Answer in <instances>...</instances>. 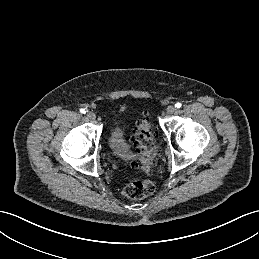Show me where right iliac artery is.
Instances as JSON below:
<instances>
[{
	"label": "right iliac artery",
	"instance_id": "right-iliac-artery-1",
	"mask_svg": "<svg viewBox=\"0 0 259 259\" xmlns=\"http://www.w3.org/2000/svg\"><path fill=\"white\" fill-rule=\"evenodd\" d=\"M80 112L82 113V114H85L86 113V110L85 109H80Z\"/></svg>",
	"mask_w": 259,
	"mask_h": 259
}]
</instances>
